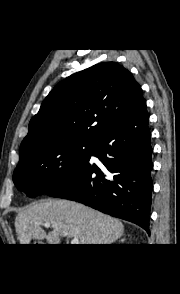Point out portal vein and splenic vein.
Instances as JSON below:
<instances>
[{"instance_id": "1", "label": "portal vein and splenic vein", "mask_w": 180, "mask_h": 294, "mask_svg": "<svg viewBox=\"0 0 180 294\" xmlns=\"http://www.w3.org/2000/svg\"><path fill=\"white\" fill-rule=\"evenodd\" d=\"M44 227H50V223H43L42 224ZM71 244H73V245H78V244H80V241H79V239H77V238H73L72 240H71Z\"/></svg>"}]
</instances>
